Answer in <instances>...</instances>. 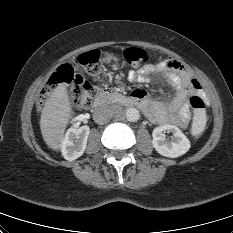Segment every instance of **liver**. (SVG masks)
Segmentation results:
<instances>
[{
    "label": "liver",
    "mask_w": 233,
    "mask_h": 233,
    "mask_svg": "<svg viewBox=\"0 0 233 233\" xmlns=\"http://www.w3.org/2000/svg\"><path fill=\"white\" fill-rule=\"evenodd\" d=\"M72 114V103L66 85L60 84L46 101L40 119L42 137L54 151L61 147L63 132Z\"/></svg>",
    "instance_id": "1"
}]
</instances>
